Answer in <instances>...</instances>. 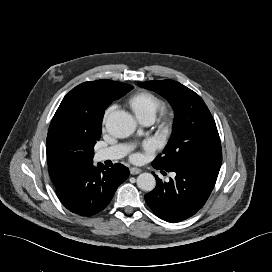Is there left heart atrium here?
I'll use <instances>...</instances> for the list:
<instances>
[{
  "instance_id": "obj_1",
  "label": "left heart atrium",
  "mask_w": 272,
  "mask_h": 272,
  "mask_svg": "<svg viewBox=\"0 0 272 272\" xmlns=\"http://www.w3.org/2000/svg\"><path fill=\"white\" fill-rule=\"evenodd\" d=\"M132 159H133V160H137V159H139V155H138V154H134V155H132Z\"/></svg>"
}]
</instances>
